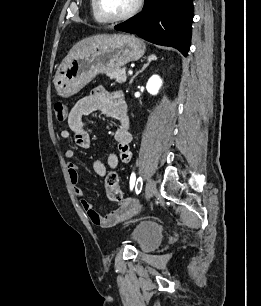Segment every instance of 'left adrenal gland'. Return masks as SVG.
Here are the masks:
<instances>
[{"instance_id": "left-adrenal-gland-1", "label": "left adrenal gland", "mask_w": 261, "mask_h": 306, "mask_svg": "<svg viewBox=\"0 0 261 306\" xmlns=\"http://www.w3.org/2000/svg\"><path fill=\"white\" fill-rule=\"evenodd\" d=\"M156 59H157V58H156L155 55L149 56L148 59H147V63L142 67L141 70H139V71L131 78L130 84L133 82V80L135 79V77H136L139 73L143 72V71L146 69V67H148V65H149L152 61H154V60H156Z\"/></svg>"}]
</instances>
